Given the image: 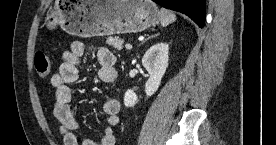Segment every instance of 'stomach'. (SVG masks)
Listing matches in <instances>:
<instances>
[{
  "label": "stomach",
  "instance_id": "1",
  "mask_svg": "<svg viewBox=\"0 0 276 145\" xmlns=\"http://www.w3.org/2000/svg\"><path fill=\"white\" fill-rule=\"evenodd\" d=\"M160 11L151 0H58L44 25H59L79 37L141 32L158 24Z\"/></svg>",
  "mask_w": 276,
  "mask_h": 145
}]
</instances>
